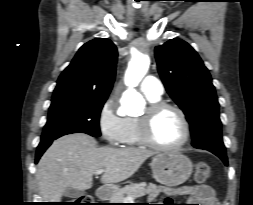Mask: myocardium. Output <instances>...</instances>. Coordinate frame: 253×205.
I'll use <instances>...</instances> for the list:
<instances>
[{
    "mask_svg": "<svg viewBox=\"0 0 253 205\" xmlns=\"http://www.w3.org/2000/svg\"><path fill=\"white\" fill-rule=\"evenodd\" d=\"M165 110H172L176 112L184 125V137L176 145H162L158 143L153 136V123L155 119ZM138 124L139 134L142 142L145 145L160 151L178 150L188 143L191 136V127L185 112L180 107L163 101L151 103L144 112V114L138 118Z\"/></svg>",
    "mask_w": 253,
    "mask_h": 205,
    "instance_id": "obj_1",
    "label": "myocardium"
}]
</instances>
